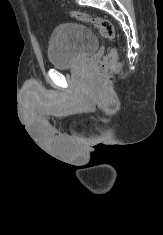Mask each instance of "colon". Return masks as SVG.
<instances>
[{"instance_id": "colon-1", "label": "colon", "mask_w": 163, "mask_h": 235, "mask_svg": "<svg viewBox=\"0 0 163 235\" xmlns=\"http://www.w3.org/2000/svg\"><path fill=\"white\" fill-rule=\"evenodd\" d=\"M70 16L79 22L85 23L97 29L106 39L112 40L115 38L114 26L106 19L75 11H71ZM115 60L116 53L115 51H111L102 61L99 68V73H105L109 66L115 62Z\"/></svg>"}]
</instances>
